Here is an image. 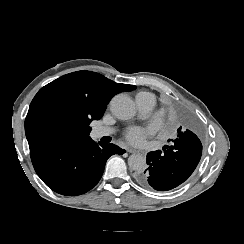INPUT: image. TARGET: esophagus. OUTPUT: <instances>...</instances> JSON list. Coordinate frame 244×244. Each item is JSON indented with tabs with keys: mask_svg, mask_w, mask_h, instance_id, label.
I'll use <instances>...</instances> for the list:
<instances>
[{
	"mask_svg": "<svg viewBox=\"0 0 244 244\" xmlns=\"http://www.w3.org/2000/svg\"><path fill=\"white\" fill-rule=\"evenodd\" d=\"M126 151L129 153H138L142 156H146V153L144 151H141V150H135L133 148H127Z\"/></svg>",
	"mask_w": 244,
	"mask_h": 244,
	"instance_id": "1",
	"label": "esophagus"
}]
</instances>
